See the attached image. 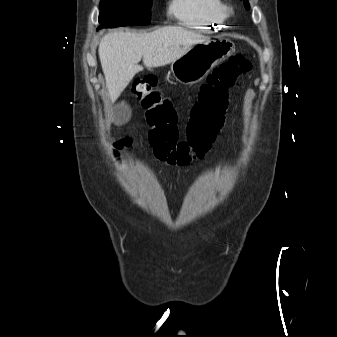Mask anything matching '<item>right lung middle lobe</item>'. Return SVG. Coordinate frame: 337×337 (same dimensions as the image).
I'll return each instance as SVG.
<instances>
[{
    "label": "right lung middle lobe",
    "instance_id": "right-lung-middle-lobe-1",
    "mask_svg": "<svg viewBox=\"0 0 337 337\" xmlns=\"http://www.w3.org/2000/svg\"><path fill=\"white\" fill-rule=\"evenodd\" d=\"M151 5L152 0H101L97 30L149 24Z\"/></svg>",
    "mask_w": 337,
    "mask_h": 337
}]
</instances>
